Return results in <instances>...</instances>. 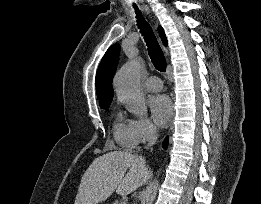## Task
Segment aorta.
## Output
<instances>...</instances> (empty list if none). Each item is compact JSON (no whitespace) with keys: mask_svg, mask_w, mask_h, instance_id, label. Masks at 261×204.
Instances as JSON below:
<instances>
[{"mask_svg":"<svg viewBox=\"0 0 261 204\" xmlns=\"http://www.w3.org/2000/svg\"><path fill=\"white\" fill-rule=\"evenodd\" d=\"M142 63L131 60L123 65L115 75L116 94L122 100L129 112L137 116L147 114L145 96L140 87V71ZM158 187V181H154L144 194L142 204H152Z\"/></svg>","mask_w":261,"mask_h":204,"instance_id":"aorta-1","label":"aorta"}]
</instances>
